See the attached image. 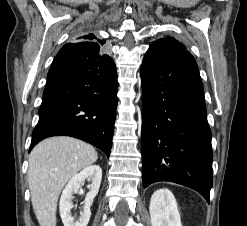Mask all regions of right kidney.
Masks as SVG:
<instances>
[{"label": "right kidney", "mask_w": 247, "mask_h": 226, "mask_svg": "<svg viewBox=\"0 0 247 226\" xmlns=\"http://www.w3.org/2000/svg\"><path fill=\"white\" fill-rule=\"evenodd\" d=\"M87 179L91 180V184L88 186L89 192L84 200L83 211L75 221L71 215V209L74 207L72 204L73 194L78 193L81 184ZM101 179L102 169L98 165L88 166L70 179L62 192L59 203L60 216L64 226H87L91 217L90 207L98 194Z\"/></svg>", "instance_id": "obj_1"}]
</instances>
